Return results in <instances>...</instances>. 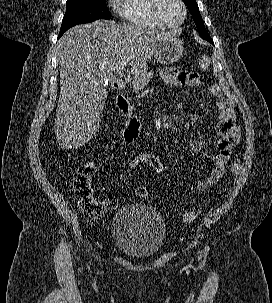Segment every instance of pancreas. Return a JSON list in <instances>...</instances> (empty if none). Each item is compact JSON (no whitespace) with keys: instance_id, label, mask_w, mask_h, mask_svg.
Instances as JSON below:
<instances>
[{"instance_id":"1","label":"pancreas","mask_w":272,"mask_h":303,"mask_svg":"<svg viewBox=\"0 0 272 303\" xmlns=\"http://www.w3.org/2000/svg\"><path fill=\"white\" fill-rule=\"evenodd\" d=\"M153 76L154 73L152 71H143L142 73L136 75L132 81L133 90L135 92L143 90L148 85Z\"/></svg>"}]
</instances>
